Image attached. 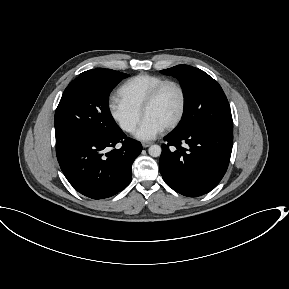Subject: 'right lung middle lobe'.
<instances>
[{
  "label": "right lung middle lobe",
  "instance_id": "dd1d6c3e",
  "mask_svg": "<svg viewBox=\"0 0 289 289\" xmlns=\"http://www.w3.org/2000/svg\"><path fill=\"white\" fill-rule=\"evenodd\" d=\"M126 77L111 69L101 73L85 71L67 86L55 112L56 152L119 128L109 111L108 97Z\"/></svg>",
  "mask_w": 289,
  "mask_h": 289
}]
</instances>
